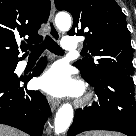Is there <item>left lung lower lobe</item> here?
<instances>
[{
	"label": "left lung lower lobe",
	"mask_w": 136,
	"mask_h": 136,
	"mask_svg": "<svg viewBox=\"0 0 136 136\" xmlns=\"http://www.w3.org/2000/svg\"><path fill=\"white\" fill-rule=\"evenodd\" d=\"M82 76L95 87L98 101L76 111L67 136H75L88 130H110L136 136L133 78L108 75L94 79L83 73Z\"/></svg>",
	"instance_id": "left-lung-lower-lobe-1"
}]
</instances>
